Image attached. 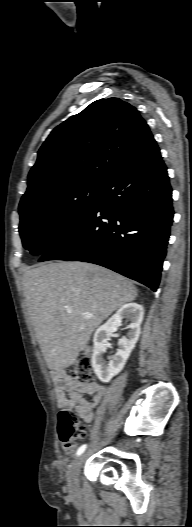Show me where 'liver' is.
Here are the masks:
<instances>
[{
    "label": "liver",
    "instance_id": "1",
    "mask_svg": "<svg viewBox=\"0 0 192 527\" xmlns=\"http://www.w3.org/2000/svg\"><path fill=\"white\" fill-rule=\"evenodd\" d=\"M22 283L29 316L51 370L70 366L93 331L138 295L125 277L83 262L49 263L30 269L23 274ZM88 314L93 317L84 318Z\"/></svg>",
    "mask_w": 192,
    "mask_h": 527
}]
</instances>
